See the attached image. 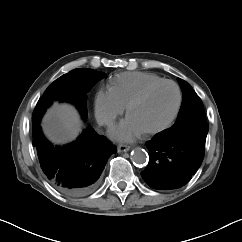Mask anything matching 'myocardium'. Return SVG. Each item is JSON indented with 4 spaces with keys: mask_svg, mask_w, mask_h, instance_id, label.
<instances>
[{
    "mask_svg": "<svg viewBox=\"0 0 242 242\" xmlns=\"http://www.w3.org/2000/svg\"><path fill=\"white\" fill-rule=\"evenodd\" d=\"M164 84L172 85L176 89V92H177L176 106L174 108V111H173L171 117L169 118V120L166 123H164L163 125L155 128V129L143 131L142 133L146 136H153V135L162 133V132L166 131L167 129H169L170 127H172V125L175 123V121L178 117V114L180 112L181 105H182V92H181L180 87L178 86V84L176 82H174L172 80L163 79L161 81L155 82V83L147 86L136 97H134L130 101V103L127 105V115L129 116L132 109L135 106H137L138 104L143 102L150 95V93L153 90H155L156 88H158L159 86L164 85Z\"/></svg>",
    "mask_w": 242,
    "mask_h": 242,
    "instance_id": "f54148a6",
    "label": "myocardium"
}]
</instances>
